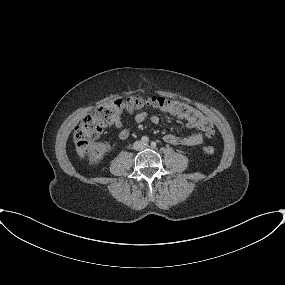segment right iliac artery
Returning a JSON list of instances; mask_svg holds the SVG:
<instances>
[{
    "instance_id": "right-iliac-artery-1",
    "label": "right iliac artery",
    "mask_w": 285,
    "mask_h": 285,
    "mask_svg": "<svg viewBox=\"0 0 285 285\" xmlns=\"http://www.w3.org/2000/svg\"><path fill=\"white\" fill-rule=\"evenodd\" d=\"M141 141L146 144V143L149 142V138L146 137V136H143V137L141 138Z\"/></svg>"
}]
</instances>
